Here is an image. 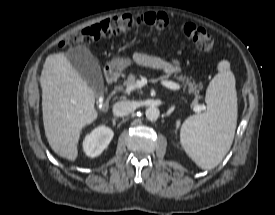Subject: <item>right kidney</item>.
<instances>
[{
  "mask_svg": "<svg viewBox=\"0 0 275 215\" xmlns=\"http://www.w3.org/2000/svg\"><path fill=\"white\" fill-rule=\"evenodd\" d=\"M113 131L106 126H99L83 141V150L89 157L99 156L107 148L113 138Z\"/></svg>",
  "mask_w": 275,
  "mask_h": 215,
  "instance_id": "ca27d5eb",
  "label": "right kidney"
}]
</instances>
